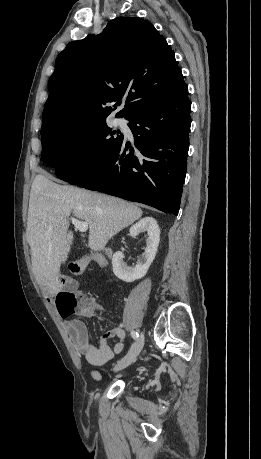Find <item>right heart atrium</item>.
<instances>
[{
  "mask_svg": "<svg viewBox=\"0 0 261 459\" xmlns=\"http://www.w3.org/2000/svg\"><path fill=\"white\" fill-rule=\"evenodd\" d=\"M89 140L84 133H77L72 138V148L74 153H80L88 146Z\"/></svg>",
  "mask_w": 261,
  "mask_h": 459,
  "instance_id": "1",
  "label": "right heart atrium"
}]
</instances>
